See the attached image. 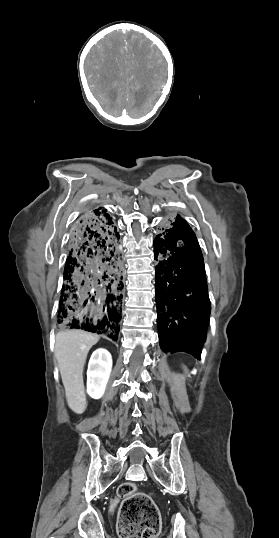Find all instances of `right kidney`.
Returning <instances> with one entry per match:
<instances>
[{
    "label": "right kidney",
    "mask_w": 279,
    "mask_h": 538,
    "mask_svg": "<svg viewBox=\"0 0 279 538\" xmlns=\"http://www.w3.org/2000/svg\"><path fill=\"white\" fill-rule=\"evenodd\" d=\"M112 370V356L98 348L93 352L87 370V392L91 398H102Z\"/></svg>",
    "instance_id": "right-kidney-1"
}]
</instances>
